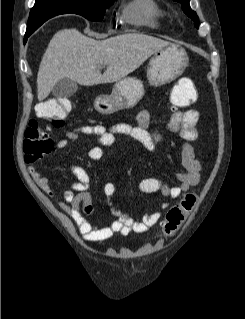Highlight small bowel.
Returning a JSON list of instances; mask_svg holds the SVG:
<instances>
[{"label": "small bowel", "mask_w": 245, "mask_h": 319, "mask_svg": "<svg viewBox=\"0 0 245 319\" xmlns=\"http://www.w3.org/2000/svg\"><path fill=\"white\" fill-rule=\"evenodd\" d=\"M173 91L184 94L189 103L197 99L193 82L188 77L180 78L175 84ZM199 112L195 109L175 111L168 122V130L176 134L181 141L180 159L182 170L174 173L178 183L176 185L165 184L156 177L144 178L139 182V190L146 194L161 193L172 199L179 198L182 194L196 186L200 182L201 162L196 157L190 142L199 138L197 123ZM137 125L117 124L110 128L101 125H85L68 131L65 138L56 142V149L63 150L69 141L76 140L80 134L94 135L98 145L92 147L88 156L92 161L102 159L104 149L110 147L115 141V135H121L143 145L148 151L154 150L161 141L162 134L152 131L150 128V114L147 110H141L136 116ZM68 171L76 177V181L70 183V188L63 194V201H59V207L67 213L77 225L79 231L87 241L99 242L110 238L115 233L127 235L131 231L145 233L155 226L168 204L163 203L154 213L145 214L140 219L132 218L128 213L121 210L115 204L116 186L107 182L103 186L105 202L114 221L108 224L97 225L89 222L85 216L93 211V200L88 192L90 176L88 172L77 164H70ZM29 171L39 187L50 197L55 193L49 184L47 177L31 165ZM76 192L77 194H74Z\"/></svg>", "instance_id": "obj_1"}]
</instances>
